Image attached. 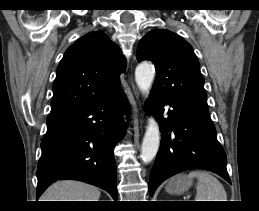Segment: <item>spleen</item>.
<instances>
[{"label": "spleen", "mask_w": 259, "mask_h": 211, "mask_svg": "<svg viewBox=\"0 0 259 211\" xmlns=\"http://www.w3.org/2000/svg\"><path fill=\"white\" fill-rule=\"evenodd\" d=\"M188 178H197L195 201H227L226 191L221 182L206 171H191Z\"/></svg>", "instance_id": "spleen-1"}]
</instances>
